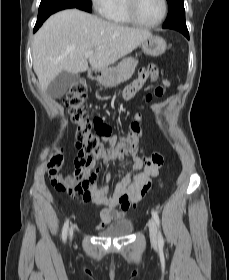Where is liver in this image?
<instances>
[{
    "instance_id": "liver-1",
    "label": "liver",
    "mask_w": 229,
    "mask_h": 280,
    "mask_svg": "<svg viewBox=\"0 0 229 280\" xmlns=\"http://www.w3.org/2000/svg\"><path fill=\"white\" fill-rule=\"evenodd\" d=\"M148 30L124 27L86 12L69 9L52 15L35 34L33 68L41 91L63 71H104L151 37ZM94 53L85 58V53ZM88 59V60H87Z\"/></svg>"
}]
</instances>
